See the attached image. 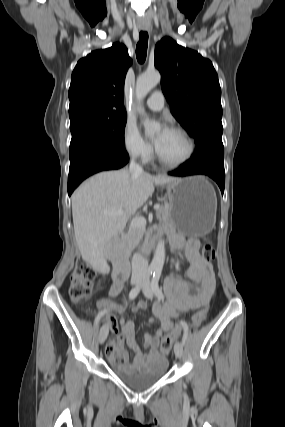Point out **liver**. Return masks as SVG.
<instances>
[{"label": "liver", "mask_w": 285, "mask_h": 427, "mask_svg": "<svg viewBox=\"0 0 285 427\" xmlns=\"http://www.w3.org/2000/svg\"><path fill=\"white\" fill-rule=\"evenodd\" d=\"M176 178L127 170L101 172L82 183L72 195L75 238L85 261L95 269L105 266L109 241L122 232L128 218L153 194L154 185H164ZM122 210L121 216H108Z\"/></svg>", "instance_id": "obj_1"}]
</instances>
